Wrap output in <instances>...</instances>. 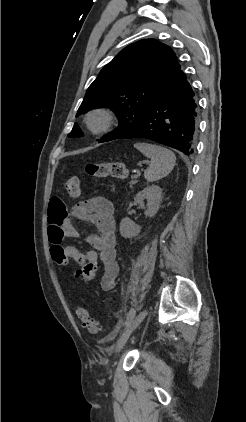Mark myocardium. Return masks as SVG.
<instances>
[{"instance_id":"f54148a6","label":"myocardium","mask_w":246,"mask_h":422,"mask_svg":"<svg viewBox=\"0 0 246 422\" xmlns=\"http://www.w3.org/2000/svg\"><path fill=\"white\" fill-rule=\"evenodd\" d=\"M117 121L116 114L109 108L97 107L84 116L85 127L92 134H103L111 131Z\"/></svg>"}]
</instances>
